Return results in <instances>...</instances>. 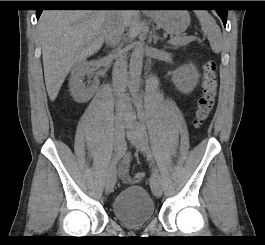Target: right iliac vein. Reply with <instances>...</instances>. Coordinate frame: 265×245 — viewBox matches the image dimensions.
Masks as SVG:
<instances>
[{
	"instance_id": "1",
	"label": "right iliac vein",
	"mask_w": 265,
	"mask_h": 245,
	"mask_svg": "<svg viewBox=\"0 0 265 245\" xmlns=\"http://www.w3.org/2000/svg\"><path fill=\"white\" fill-rule=\"evenodd\" d=\"M125 126H126V123L124 121H118L116 124V128L113 133V145L115 149H117L118 146L122 142V137H123ZM115 182H116V170H115V167L113 166L109 169L106 175V178H105V191L107 194L113 191Z\"/></svg>"
}]
</instances>
